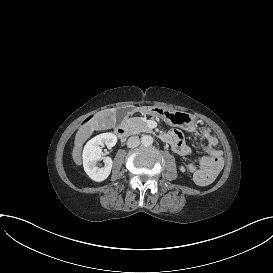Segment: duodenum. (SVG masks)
Wrapping results in <instances>:
<instances>
[{
  "instance_id": "obj_1",
  "label": "duodenum",
  "mask_w": 273,
  "mask_h": 273,
  "mask_svg": "<svg viewBox=\"0 0 273 273\" xmlns=\"http://www.w3.org/2000/svg\"><path fill=\"white\" fill-rule=\"evenodd\" d=\"M136 109H133L132 112H135ZM116 135L119 139L123 140L128 135V129L125 125H120L116 128ZM162 139L165 141V138L162 136Z\"/></svg>"
}]
</instances>
